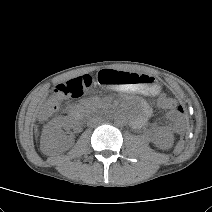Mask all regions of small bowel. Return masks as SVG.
Listing matches in <instances>:
<instances>
[{
	"mask_svg": "<svg viewBox=\"0 0 212 212\" xmlns=\"http://www.w3.org/2000/svg\"><path fill=\"white\" fill-rule=\"evenodd\" d=\"M143 111L145 114H148L149 113V108L147 106H144L143 107Z\"/></svg>",
	"mask_w": 212,
	"mask_h": 212,
	"instance_id": "c3829d8e",
	"label": "small bowel"
}]
</instances>
